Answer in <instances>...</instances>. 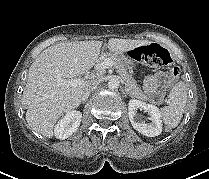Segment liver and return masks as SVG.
<instances>
[{
    "label": "liver",
    "instance_id": "obj_1",
    "mask_svg": "<svg viewBox=\"0 0 209 179\" xmlns=\"http://www.w3.org/2000/svg\"><path fill=\"white\" fill-rule=\"evenodd\" d=\"M102 41H75L56 44L42 51L29 68L22 103L27 107L26 121L41 135L52 138L57 120L79 107L82 95L91 81L76 87L67 81L81 77L98 61ZM145 40L111 38L108 48L120 54L142 45ZM62 82H58V81Z\"/></svg>",
    "mask_w": 209,
    "mask_h": 179
}]
</instances>
